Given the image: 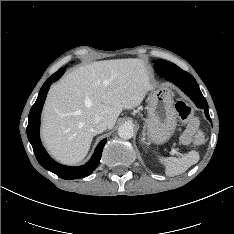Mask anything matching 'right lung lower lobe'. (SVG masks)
Masks as SVG:
<instances>
[{"label": "right lung lower lobe", "mask_w": 234, "mask_h": 234, "mask_svg": "<svg viewBox=\"0 0 234 234\" xmlns=\"http://www.w3.org/2000/svg\"><path fill=\"white\" fill-rule=\"evenodd\" d=\"M65 68H60L56 73L50 76L47 81L43 84L38 94V98L32 106L29 113V122L27 126V137L30 141L35 156L40 165L53 172L57 176L63 179H79L90 175L99 164L103 147L106 143V139L102 140L96 147L91 159L83 166L79 167H68L63 166L55 162L45 151L39 137L40 128V115L43 104L45 102L50 85L58 80L64 73Z\"/></svg>", "instance_id": "98d812e1"}]
</instances>
